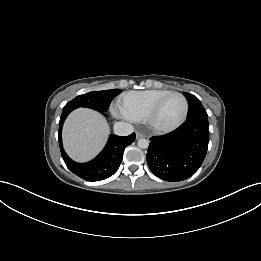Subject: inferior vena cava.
I'll list each match as a JSON object with an SVG mask.
<instances>
[{
    "label": "inferior vena cava",
    "instance_id": "602c4592",
    "mask_svg": "<svg viewBox=\"0 0 261 261\" xmlns=\"http://www.w3.org/2000/svg\"><path fill=\"white\" fill-rule=\"evenodd\" d=\"M133 125L126 122H116L114 124V133L119 136H128L133 133Z\"/></svg>",
    "mask_w": 261,
    "mask_h": 261
}]
</instances>
